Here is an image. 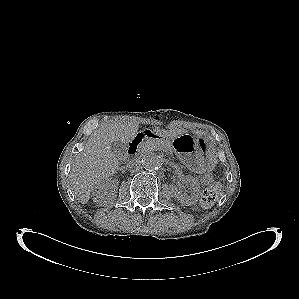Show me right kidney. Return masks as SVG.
<instances>
[{
  "label": "right kidney",
  "instance_id": "ca27d5eb",
  "mask_svg": "<svg viewBox=\"0 0 299 299\" xmlns=\"http://www.w3.org/2000/svg\"><path fill=\"white\" fill-rule=\"evenodd\" d=\"M117 189V180H103L92 191L93 202H95L98 206H105L109 204L116 197Z\"/></svg>",
  "mask_w": 299,
  "mask_h": 299
}]
</instances>
